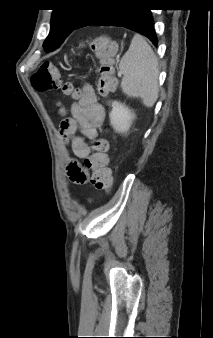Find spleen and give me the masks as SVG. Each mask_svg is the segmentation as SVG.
<instances>
[{
    "label": "spleen",
    "mask_w": 213,
    "mask_h": 338,
    "mask_svg": "<svg viewBox=\"0 0 213 338\" xmlns=\"http://www.w3.org/2000/svg\"><path fill=\"white\" fill-rule=\"evenodd\" d=\"M123 74L121 89L128 97L141 98L146 107L158 99V60L147 41L139 34L132 38L128 51L119 63Z\"/></svg>",
    "instance_id": "obj_1"
}]
</instances>
